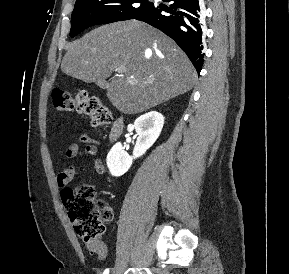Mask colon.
Segmentation results:
<instances>
[{"label": "colon", "instance_id": "colon-1", "mask_svg": "<svg viewBox=\"0 0 289 274\" xmlns=\"http://www.w3.org/2000/svg\"><path fill=\"white\" fill-rule=\"evenodd\" d=\"M51 97L57 110L87 115L94 127H105L112 121L111 111L98 97L85 92L73 95L62 89H54ZM62 200L79 237L91 242L103 236L106 225L113 219V211L105 201L96 198L93 185L82 183L74 188H64Z\"/></svg>", "mask_w": 289, "mask_h": 274}]
</instances>
